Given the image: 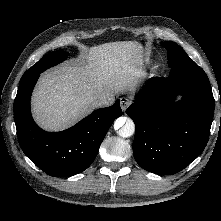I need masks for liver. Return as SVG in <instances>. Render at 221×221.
Segmentation results:
<instances>
[{
    "label": "liver",
    "mask_w": 221,
    "mask_h": 221,
    "mask_svg": "<svg viewBox=\"0 0 221 221\" xmlns=\"http://www.w3.org/2000/svg\"><path fill=\"white\" fill-rule=\"evenodd\" d=\"M142 45L135 41L89 48L78 65H63L44 74L33 93L32 111L45 130L65 129L97 106L101 96L133 91L144 76Z\"/></svg>",
    "instance_id": "6515ba94"
}]
</instances>
